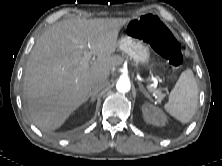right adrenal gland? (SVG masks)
Returning <instances> with one entry per match:
<instances>
[{"instance_id":"1","label":"right adrenal gland","mask_w":222,"mask_h":166,"mask_svg":"<svg viewBox=\"0 0 222 166\" xmlns=\"http://www.w3.org/2000/svg\"><path fill=\"white\" fill-rule=\"evenodd\" d=\"M96 95H97V93H95V92H92V93L89 95L88 98H90V102H91V103H94V102H95V100H96ZM88 98H87V100H88ZM87 100H86V101H87Z\"/></svg>"}]
</instances>
